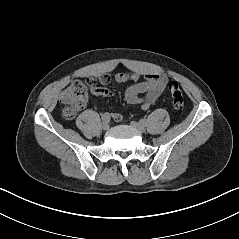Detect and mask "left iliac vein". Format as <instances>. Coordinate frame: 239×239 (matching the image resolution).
<instances>
[{"mask_svg":"<svg viewBox=\"0 0 239 239\" xmlns=\"http://www.w3.org/2000/svg\"><path fill=\"white\" fill-rule=\"evenodd\" d=\"M130 124L132 127H134L139 132H141V133L145 132V126L143 124L136 122V121H131Z\"/></svg>","mask_w":239,"mask_h":239,"instance_id":"4c4485c4","label":"left iliac vein"}]
</instances>
